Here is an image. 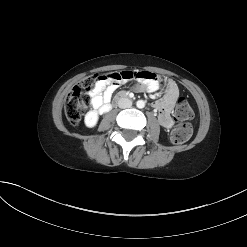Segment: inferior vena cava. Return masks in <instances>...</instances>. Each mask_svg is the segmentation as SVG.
I'll return each mask as SVG.
<instances>
[{
	"instance_id": "1",
	"label": "inferior vena cava",
	"mask_w": 247,
	"mask_h": 247,
	"mask_svg": "<svg viewBox=\"0 0 247 247\" xmlns=\"http://www.w3.org/2000/svg\"><path fill=\"white\" fill-rule=\"evenodd\" d=\"M118 106L120 108H129L132 106V101L129 99V98H126V97H123V98H120L119 101H118Z\"/></svg>"
}]
</instances>
